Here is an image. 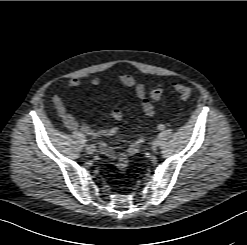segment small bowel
<instances>
[{
    "mask_svg": "<svg viewBox=\"0 0 247 245\" xmlns=\"http://www.w3.org/2000/svg\"><path fill=\"white\" fill-rule=\"evenodd\" d=\"M116 78L124 87L134 89L136 96L142 103V109L145 115L149 117H153L155 114V109H154L153 104L150 102V100L146 98L145 85L137 81L130 74H120V75H117ZM100 83H101V80L97 77H94L89 81V84L93 87L99 86ZM81 84H82V80L80 78H72L67 82L66 88L67 89L77 88ZM52 102L63 124L66 126V128H68L69 130L73 132H82L86 136L93 137V138L120 137L121 136V122H122L123 116H122L121 110L118 108L112 109L107 115V118L112 119L115 122V124L109 129L96 131V130H93L91 127H89L87 124L77 120L67 110V107H66V104H65V101L62 95L55 94L52 98ZM150 135H151V130L150 129L145 130L138 138H136L129 144L125 153L128 156H133L134 154H136L141 148V146L148 140ZM100 150L103 154H105L107 157L111 159H116L119 156L112 148H110L105 143L100 144Z\"/></svg>",
    "mask_w": 247,
    "mask_h": 245,
    "instance_id": "1",
    "label": "small bowel"
}]
</instances>
